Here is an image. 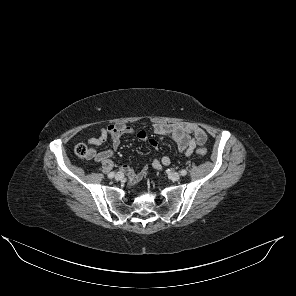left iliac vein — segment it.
<instances>
[{
    "label": "left iliac vein",
    "mask_w": 296,
    "mask_h": 296,
    "mask_svg": "<svg viewBox=\"0 0 296 296\" xmlns=\"http://www.w3.org/2000/svg\"><path fill=\"white\" fill-rule=\"evenodd\" d=\"M168 177L172 180V181H178L180 179V174L178 172H170L168 174Z\"/></svg>",
    "instance_id": "4c4485c4"
}]
</instances>
